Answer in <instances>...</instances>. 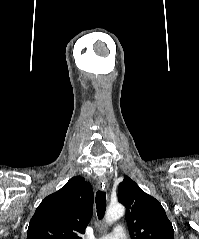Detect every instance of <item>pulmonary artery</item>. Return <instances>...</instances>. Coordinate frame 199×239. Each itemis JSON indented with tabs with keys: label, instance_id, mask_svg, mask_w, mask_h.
<instances>
[{
	"label": "pulmonary artery",
	"instance_id": "pulmonary-artery-1",
	"mask_svg": "<svg viewBox=\"0 0 199 239\" xmlns=\"http://www.w3.org/2000/svg\"><path fill=\"white\" fill-rule=\"evenodd\" d=\"M99 239H127V237L124 229L118 226L111 234L105 235Z\"/></svg>",
	"mask_w": 199,
	"mask_h": 239
}]
</instances>
